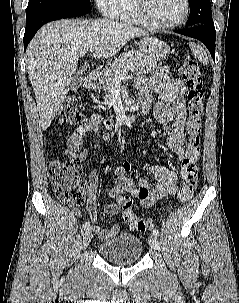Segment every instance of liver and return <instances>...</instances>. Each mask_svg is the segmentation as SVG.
<instances>
[{"mask_svg":"<svg viewBox=\"0 0 239 303\" xmlns=\"http://www.w3.org/2000/svg\"><path fill=\"white\" fill-rule=\"evenodd\" d=\"M148 32L110 19L59 20L44 25L26 51L40 124L46 130L68 94L78 61L97 48L93 57L110 58L131 39Z\"/></svg>","mask_w":239,"mask_h":303,"instance_id":"6515ba94","label":"liver"}]
</instances>
